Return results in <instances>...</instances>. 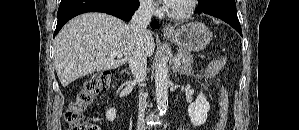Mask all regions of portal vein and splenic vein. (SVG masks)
Wrapping results in <instances>:
<instances>
[{"instance_id": "portal-vein-and-splenic-vein-1", "label": "portal vein and splenic vein", "mask_w": 299, "mask_h": 130, "mask_svg": "<svg viewBox=\"0 0 299 130\" xmlns=\"http://www.w3.org/2000/svg\"><path fill=\"white\" fill-rule=\"evenodd\" d=\"M108 55H109L110 57H113V58H115V57H117V58H121V57H122L121 53H120V52H117V51L110 52ZM175 62H176V64H177L178 66H180V64H181V59H180V57H178V58L175 60Z\"/></svg>"}]
</instances>
